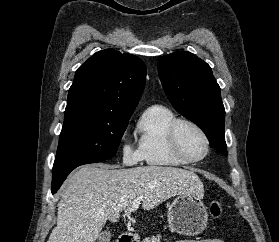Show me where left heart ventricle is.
<instances>
[{"label": "left heart ventricle", "mask_w": 279, "mask_h": 242, "mask_svg": "<svg viewBox=\"0 0 279 242\" xmlns=\"http://www.w3.org/2000/svg\"><path fill=\"white\" fill-rule=\"evenodd\" d=\"M179 142L185 154L192 158L201 157L205 152V142L200 134L190 126L179 130Z\"/></svg>", "instance_id": "1"}]
</instances>
